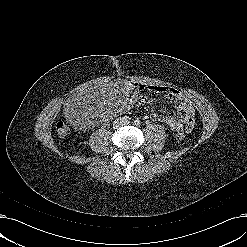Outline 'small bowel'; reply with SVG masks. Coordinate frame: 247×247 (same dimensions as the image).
Masks as SVG:
<instances>
[{"label": "small bowel", "mask_w": 247, "mask_h": 247, "mask_svg": "<svg viewBox=\"0 0 247 247\" xmlns=\"http://www.w3.org/2000/svg\"><path fill=\"white\" fill-rule=\"evenodd\" d=\"M141 90H149L163 95L165 99L174 102L178 117L172 115H154L152 119L167 125L173 131L191 132L195 124V111L191 103L176 89L162 85H139Z\"/></svg>", "instance_id": "obj_1"}]
</instances>
